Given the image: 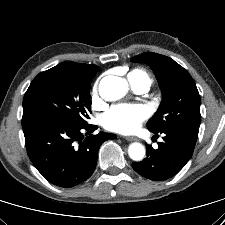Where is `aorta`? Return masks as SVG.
<instances>
[{
	"label": "aorta",
	"instance_id": "762f6f07",
	"mask_svg": "<svg viewBox=\"0 0 225 225\" xmlns=\"http://www.w3.org/2000/svg\"><path fill=\"white\" fill-rule=\"evenodd\" d=\"M128 90V82L118 76H105L99 83V94L106 101L119 100L127 94ZM145 154V147L141 143L134 142L128 147V155L134 161H142Z\"/></svg>",
	"mask_w": 225,
	"mask_h": 225
}]
</instances>
